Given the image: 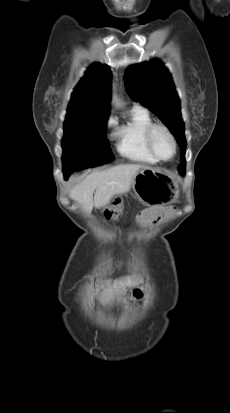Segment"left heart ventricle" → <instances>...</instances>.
Listing matches in <instances>:
<instances>
[{"label":"left heart ventricle","mask_w":230,"mask_h":413,"mask_svg":"<svg viewBox=\"0 0 230 413\" xmlns=\"http://www.w3.org/2000/svg\"><path fill=\"white\" fill-rule=\"evenodd\" d=\"M153 145L157 154L162 158L167 159L173 154V144L169 136L162 129L155 131Z\"/></svg>","instance_id":"b2bd125f"}]
</instances>
